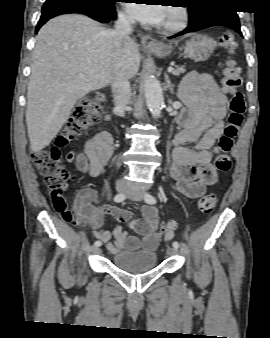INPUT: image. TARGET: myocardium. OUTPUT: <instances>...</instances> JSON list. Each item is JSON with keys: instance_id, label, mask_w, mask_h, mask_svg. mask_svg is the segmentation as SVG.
<instances>
[{"instance_id": "1", "label": "myocardium", "mask_w": 270, "mask_h": 338, "mask_svg": "<svg viewBox=\"0 0 270 338\" xmlns=\"http://www.w3.org/2000/svg\"><path fill=\"white\" fill-rule=\"evenodd\" d=\"M168 8L175 12V18L166 24L158 25L157 30L165 34H173L185 29L190 19L188 9L180 4H173Z\"/></svg>"}]
</instances>
